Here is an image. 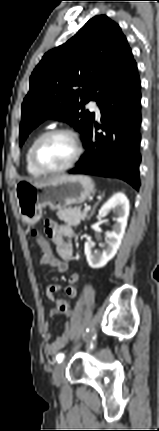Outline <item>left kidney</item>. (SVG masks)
Returning a JSON list of instances; mask_svg holds the SVG:
<instances>
[{"label": "left kidney", "mask_w": 159, "mask_h": 431, "mask_svg": "<svg viewBox=\"0 0 159 431\" xmlns=\"http://www.w3.org/2000/svg\"><path fill=\"white\" fill-rule=\"evenodd\" d=\"M112 210L117 216L112 231L106 232V244L102 252L93 250V243H85V255L91 268L98 269L105 266L117 253L123 239L129 216L130 204L122 192L114 194L99 210L100 216Z\"/></svg>", "instance_id": "obj_1"}]
</instances>
